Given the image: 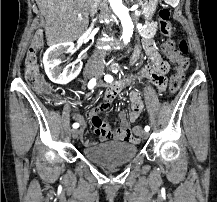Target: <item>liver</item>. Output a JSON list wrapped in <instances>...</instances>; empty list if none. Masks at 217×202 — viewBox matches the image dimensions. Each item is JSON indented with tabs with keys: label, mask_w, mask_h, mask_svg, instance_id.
<instances>
[{
	"label": "liver",
	"mask_w": 217,
	"mask_h": 202,
	"mask_svg": "<svg viewBox=\"0 0 217 202\" xmlns=\"http://www.w3.org/2000/svg\"><path fill=\"white\" fill-rule=\"evenodd\" d=\"M46 20L48 46L78 40L89 24V0H36ZM80 14L82 20H77Z\"/></svg>",
	"instance_id": "obj_1"
}]
</instances>
